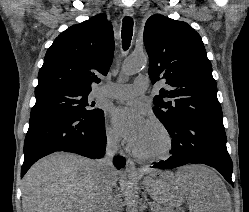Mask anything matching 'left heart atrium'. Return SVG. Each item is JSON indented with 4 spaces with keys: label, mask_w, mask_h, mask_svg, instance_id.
I'll return each instance as SVG.
<instances>
[{
    "label": "left heart atrium",
    "mask_w": 249,
    "mask_h": 212,
    "mask_svg": "<svg viewBox=\"0 0 249 212\" xmlns=\"http://www.w3.org/2000/svg\"><path fill=\"white\" fill-rule=\"evenodd\" d=\"M111 121L116 134L133 152H138L147 121L130 107H114L111 110Z\"/></svg>",
    "instance_id": "left-heart-atrium-1"
}]
</instances>
